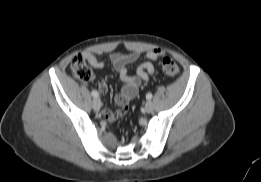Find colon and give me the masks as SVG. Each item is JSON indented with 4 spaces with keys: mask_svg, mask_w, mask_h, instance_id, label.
I'll use <instances>...</instances> for the list:
<instances>
[{
    "mask_svg": "<svg viewBox=\"0 0 261 182\" xmlns=\"http://www.w3.org/2000/svg\"><path fill=\"white\" fill-rule=\"evenodd\" d=\"M163 72L168 76H176L179 73V67L170 58H163L161 62ZM73 76L83 82L90 81L93 77V72L90 66L86 63L82 56H75L70 65Z\"/></svg>",
    "mask_w": 261,
    "mask_h": 182,
    "instance_id": "obj_1",
    "label": "colon"
}]
</instances>
